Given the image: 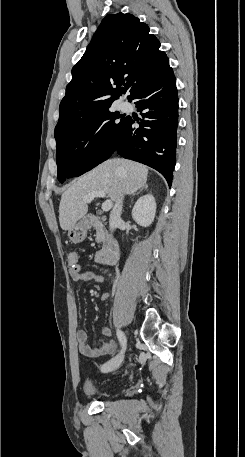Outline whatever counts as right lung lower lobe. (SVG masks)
I'll return each mask as SVG.
<instances>
[{
	"instance_id": "1",
	"label": "right lung lower lobe",
	"mask_w": 245,
	"mask_h": 457,
	"mask_svg": "<svg viewBox=\"0 0 245 457\" xmlns=\"http://www.w3.org/2000/svg\"><path fill=\"white\" fill-rule=\"evenodd\" d=\"M143 118H123L114 152L146 164L172 183L176 163L178 96L172 68L142 83L130 96ZM134 123L140 125L133 127Z\"/></svg>"
}]
</instances>
